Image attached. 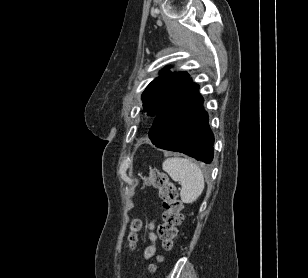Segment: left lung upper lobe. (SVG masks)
<instances>
[{
    "instance_id": "1",
    "label": "left lung upper lobe",
    "mask_w": 308,
    "mask_h": 278,
    "mask_svg": "<svg viewBox=\"0 0 308 278\" xmlns=\"http://www.w3.org/2000/svg\"><path fill=\"white\" fill-rule=\"evenodd\" d=\"M161 72L142 94L143 111L149 116H156L190 77L187 72L172 73L167 69Z\"/></svg>"
}]
</instances>
